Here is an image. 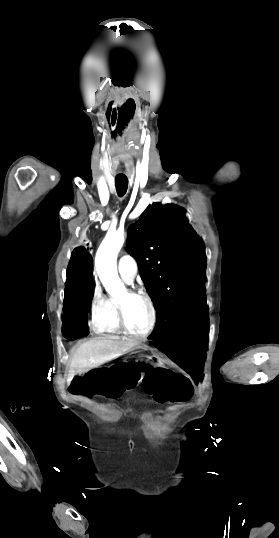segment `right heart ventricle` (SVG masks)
Wrapping results in <instances>:
<instances>
[{
    "label": "right heart ventricle",
    "mask_w": 279,
    "mask_h": 538,
    "mask_svg": "<svg viewBox=\"0 0 279 538\" xmlns=\"http://www.w3.org/2000/svg\"><path fill=\"white\" fill-rule=\"evenodd\" d=\"M101 229H108L107 235L116 236L120 242L124 239V230L123 229H113L104 227ZM122 277V276H121ZM123 278V277H122ZM123 280H125L123 278ZM126 281V280H125ZM117 296H104L103 297V314L100 320L93 324V327L98 332H108V333H123L117 315Z\"/></svg>",
    "instance_id": "e07e8e85"
}]
</instances>
